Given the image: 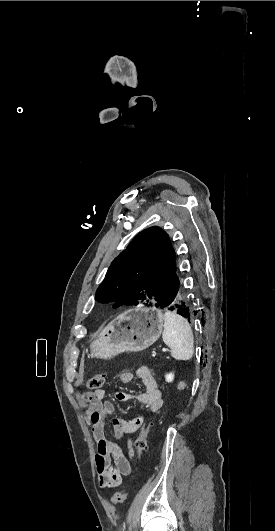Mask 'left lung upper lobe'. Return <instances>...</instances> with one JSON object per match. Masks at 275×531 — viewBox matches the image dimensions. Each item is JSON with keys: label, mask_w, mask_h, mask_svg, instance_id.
I'll use <instances>...</instances> for the list:
<instances>
[{"label": "left lung upper lobe", "mask_w": 275, "mask_h": 531, "mask_svg": "<svg viewBox=\"0 0 275 531\" xmlns=\"http://www.w3.org/2000/svg\"><path fill=\"white\" fill-rule=\"evenodd\" d=\"M180 287L169 236L157 226L141 231L111 263L95 299L164 308Z\"/></svg>", "instance_id": "1"}]
</instances>
